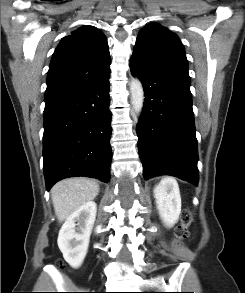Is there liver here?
Listing matches in <instances>:
<instances>
[{
    "label": "liver",
    "instance_id": "liver-1",
    "mask_svg": "<svg viewBox=\"0 0 245 293\" xmlns=\"http://www.w3.org/2000/svg\"><path fill=\"white\" fill-rule=\"evenodd\" d=\"M98 193V184L86 178H69L56 183L51 189V198L58 221L66 220L81 205L92 201Z\"/></svg>",
    "mask_w": 245,
    "mask_h": 293
}]
</instances>
